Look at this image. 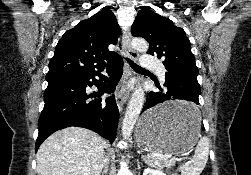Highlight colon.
I'll use <instances>...</instances> for the list:
<instances>
[{
    "instance_id": "1",
    "label": "colon",
    "mask_w": 251,
    "mask_h": 175,
    "mask_svg": "<svg viewBox=\"0 0 251 175\" xmlns=\"http://www.w3.org/2000/svg\"><path fill=\"white\" fill-rule=\"evenodd\" d=\"M170 175H178V174H177V173L172 172V173H170Z\"/></svg>"
}]
</instances>
